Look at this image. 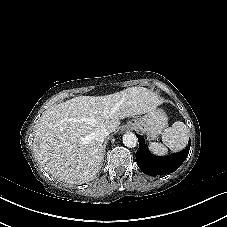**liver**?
<instances>
[{
  "label": "liver",
  "instance_id": "obj_1",
  "mask_svg": "<svg viewBox=\"0 0 227 227\" xmlns=\"http://www.w3.org/2000/svg\"><path fill=\"white\" fill-rule=\"evenodd\" d=\"M152 91L129 87L105 96H78L47 109L34 131L33 150L39 164L53 177L70 184L92 180L101 168L102 142L94 133H110L120 120L153 111Z\"/></svg>",
  "mask_w": 227,
  "mask_h": 227
}]
</instances>
